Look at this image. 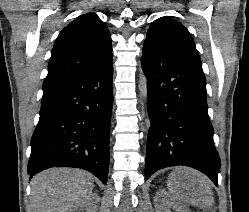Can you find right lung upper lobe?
Wrapping results in <instances>:
<instances>
[{"label": "right lung upper lobe", "mask_w": 249, "mask_h": 212, "mask_svg": "<svg viewBox=\"0 0 249 212\" xmlns=\"http://www.w3.org/2000/svg\"><path fill=\"white\" fill-rule=\"evenodd\" d=\"M112 57L107 26L95 13L81 15L57 37L43 87L88 73Z\"/></svg>", "instance_id": "right-lung-upper-lobe-1"}]
</instances>
